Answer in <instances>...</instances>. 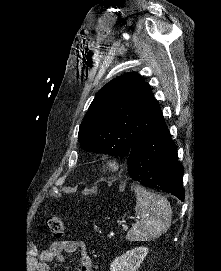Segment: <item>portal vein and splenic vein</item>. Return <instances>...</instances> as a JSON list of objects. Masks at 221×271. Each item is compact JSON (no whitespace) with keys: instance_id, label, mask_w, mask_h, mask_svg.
Listing matches in <instances>:
<instances>
[{"instance_id":"portal-vein-and-splenic-vein-1","label":"portal vein and splenic vein","mask_w":221,"mask_h":271,"mask_svg":"<svg viewBox=\"0 0 221 271\" xmlns=\"http://www.w3.org/2000/svg\"><path fill=\"white\" fill-rule=\"evenodd\" d=\"M123 227H125V229H127L128 225H123Z\"/></svg>"}]
</instances>
